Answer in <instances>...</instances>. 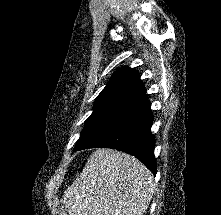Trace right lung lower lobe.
<instances>
[{"label":"right lung lower lobe","mask_w":221,"mask_h":215,"mask_svg":"<svg viewBox=\"0 0 221 215\" xmlns=\"http://www.w3.org/2000/svg\"><path fill=\"white\" fill-rule=\"evenodd\" d=\"M148 103L144 107L120 119L106 132L79 150L96 147L113 148L138 158L155 175V138L151 134L153 115Z\"/></svg>","instance_id":"1"}]
</instances>
